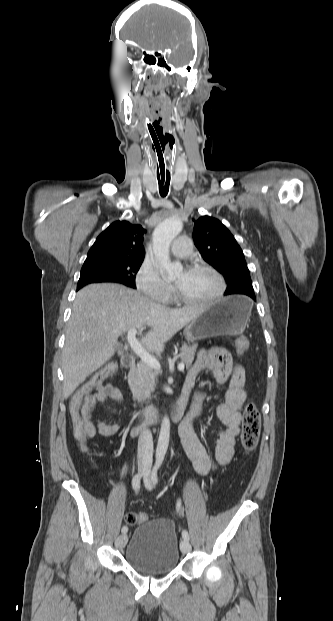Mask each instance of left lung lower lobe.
<instances>
[{"instance_id": "1", "label": "left lung lower lobe", "mask_w": 333, "mask_h": 621, "mask_svg": "<svg viewBox=\"0 0 333 621\" xmlns=\"http://www.w3.org/2000/svg\"><path fill=\"white\" fill-rule=\"evenodd\" d=\"M251 298H252L253 300H255V301H256V298H255V296H252Z\"/></svg>"}]
</instances>
